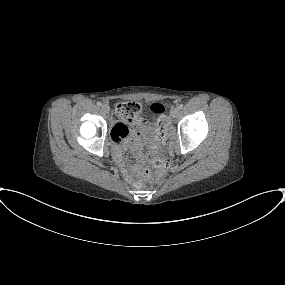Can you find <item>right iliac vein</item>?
Returning <instances> with one entry per match:
<instances>
[{
  "label": "right iliac vein",
  "mask_w": 285,
  "mask_h": 285,
  "mask_svg": "<svg viewBox=\"0 0 285 285\" xmlns=\"http://www.w3.org/2000/svg\"><path fill=\"white\" fill-rule=\"evenodd\" d=\"M101 109H102L105 113H109V111H110V107H109L108 104H103V105L101 106Z\"/></svg>",
  "instance_id": "1"
}]
</instances>
